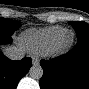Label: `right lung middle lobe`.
Instances as JSON below:
<instances>
[{"label": "right lung middle lobe", "mask_w": 89, "mask_h": 89, "mask_svg": "<svg viewBox=\"0 0 89 89\" xmlns=\"http://www.w3.org/2000/svg\"><path fill=\"white\" fill-rule=\"evenodd\" d=\"M20 26L18 21L0 18V37L11 36Z\"/></svg>", "instance_id": "dd1d6c3e"}]
</instances>
